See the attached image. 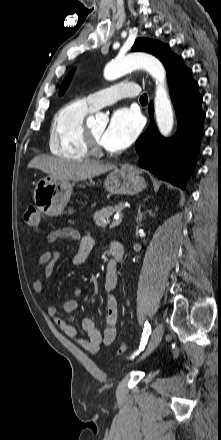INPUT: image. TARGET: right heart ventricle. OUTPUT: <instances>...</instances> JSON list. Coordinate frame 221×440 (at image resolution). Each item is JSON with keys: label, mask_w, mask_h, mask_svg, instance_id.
Returning <instances> with one entry per match:
<instances>
[{"label": "right heart ventricle", "mask_w": 221, "mask_h": 440, "mask_svg": "<svg viewBox=\"0 0 221 440\" xmlns=\"http://www.w3.org/2000/svg\"><path fill=\"white\" fill-rule=\"evenodd\" d=\"M94 111L85 99H74L61 106L54 114L49 149L55 156L82 160L89 156L83 139L85 118Z\"/></svg>", "instance_id": "1"}]
</instances>
